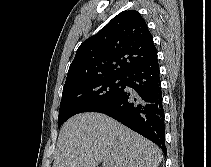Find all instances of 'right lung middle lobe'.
Instances as JSON below:
<instances>
[{"label": "right lung middle lobe", "instance_id": "dd1d6c3e", "mask_svg": "<svg viewBox=\"0 0 211 167\" xmlns=\"http://www.w3.org/2000/svg\"><path fill=\"white\" fill-rule=\"evenodd\" d=\"M125 89L124 76H105L63 88L58 128L75 114L96 112Z\"/></svg>", "mask_w": 211, "mask_h": 167}]
</instances>
